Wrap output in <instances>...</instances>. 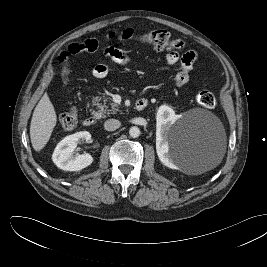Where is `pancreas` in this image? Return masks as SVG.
Returning <instances> with one entry per match:
<instances>
[{"label":"pancreas","instance_id":"pancreas-1","mask_svg":"<svg viewBox=\"0 0 267 267\" xmlns=\"http://www.w3.org/2000/svg\"><path fill=\"white\" fill-rule=\"evenodd\" d=\"M103 99V103H100V101ZM107 98H101V97H96L93 100V106H96V109L98 111H94L93 114L96 118H106L107 115L109 114H115L116 112L119 111L118 105L115 103H111V109L108 108L106 105Z\"/></svg>","mask_w":267,"mask_h":267}]
</instances>
